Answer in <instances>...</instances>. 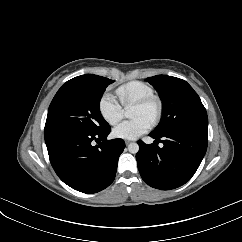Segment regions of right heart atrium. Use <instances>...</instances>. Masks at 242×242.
<instances>
[{"instance_id": "obj_1", "label": "right heart atrium", "mask_w": 242, "mask_h": 242, "mask_svg": "<svg viewBox=\"0 0 242 242\" xmlns=\"http://www.w3.org/2000/svg\"><path fill=\"white\" fill-rule=\"evenodd\" d=\"M99 111L102 117L111 125L119 122L124 110L119 101L110 93L105 94L99 101Z\"/></svg>"}]
</instances>
